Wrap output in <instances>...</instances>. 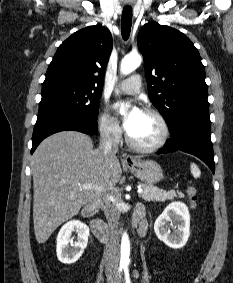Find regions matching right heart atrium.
Listing matches in <instances>:
<instances>
[{
    "instance_id": "1",
    "label": "right heart atrium",
    "mask_w": 233,
    "mask_h": 283,
    "mask_svg": "<svg viewBox=\"0 0 233 283\" xmlns=\"http://www.w3.org/2000/svg\"><path fill=\"white\" fill-rule=\"evenodd\" d=\"M98 127L101 135L112 142H116L121 136V127L118 121L110 115L106 110H103L98 118Z\"/></svg>"
}]
</instances>
